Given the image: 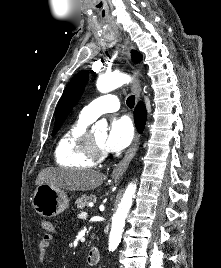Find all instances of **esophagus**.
<instances>
[{
	"label": "esophagus",
	"mask_w": 221,
	"mask_h": 268,
	"mask_svg": "<svg viewBox=\"0 0 221 268\" xmlns=\"http://www.w3.org/2000/svg\"><path fill=\"white\" fill-rule=\"evenodd\" d=\"M124 44L126 46L128 57L131 60L130 52L134 48V46L127 39H124ZM131 68H132V73H133V78H134V81L132 83V91L136 96L137 102H139L140 96H141V86H140L141 72H140V69L136 68L134 65H131ZM139 143H140V135L137 134L134 138L132 145L127 150L123 159L114 167L112 174H111L112 178H115V179L120 178L125 173L131 160L136 155Z\"/></svg>",
	"instance_id": "34e87169"
}]
</instances>
